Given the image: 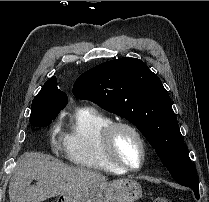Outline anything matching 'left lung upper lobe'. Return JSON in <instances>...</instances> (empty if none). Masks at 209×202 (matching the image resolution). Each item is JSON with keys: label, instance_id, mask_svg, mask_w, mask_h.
<instances>
[{"label": "left lung upper lobe", "instance_id": "obj_1", "mask_svg": "<svg viewBox=\"0 0 209 202\" xmlns=\"http://www.w3.org/2000/svg\"><path fill=\"white\" fill-rule=\"evenodd\" d=\"M73 94L134 124L172 177L192 190L199 189L170 96L143 61L120 58L99 64L78 77Z\"/></svg>", "mask_w": 209, "mask_h": 202}]
</instances>
